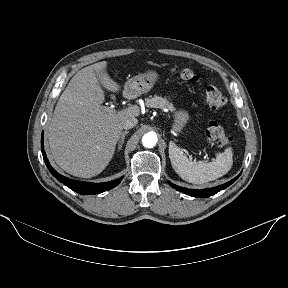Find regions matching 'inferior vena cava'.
Returning <instances> with one entry per match:
<instances>
[{
  "instance_id": "1",
  "label": "inferior vena cava",
  "mask_w": 288,
  "mask_h": 288,
  "mask_svg": "<svg viewBox=\"0 0 288 288\" xmlns=\"http://www.w3.org/2000/svg\"><path fill=\"white\" fill-rule=\"evenodd\" d=\"M138 124V120L135 117L128 118L123 123L124 129H131L135 127Z\"/></svg>"
}]
</instances>
